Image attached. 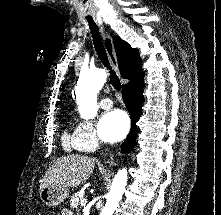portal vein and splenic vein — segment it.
<instances>
[{"label":"portal vein and splenic vein","mask_w":221,"mask_h":215,"mask_svg":"<svg viewBox=\"0 0 221 215\" xmlns=\"http://www.w3.org/2000/svg\"><path fill=\"white\" fill-rule=\"evenodd\" d=\"M86 202H87V200H86V199H82L80 203H81V205H85V204H86Z\"/></svg>","instance_id":"obj_1"}]
</instances>
